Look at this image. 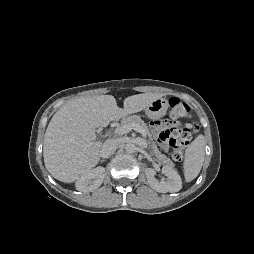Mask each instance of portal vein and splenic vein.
Returning <instances> with one entry per match:
<instances>
[{
	"label": "portal vein and splenic vein",
	"mask_w": 254,
	"mask_h": 254,
	"mask_svg": "<svg viewBox=\"0 0 254 254\" xmlns=\"http://www.w3.org/2000/svg\"><path fill=\"white\" fill-rule=\"evenodd\" d=\"M131 130H135L139 132L140 134H142L143 137L146 136L145 131L139 125L135 123L120 126L115 129V133L119 135H123V134L129 133Z\"/></svg>",
	"instance_id": "obj_1"
}]
</instances>
